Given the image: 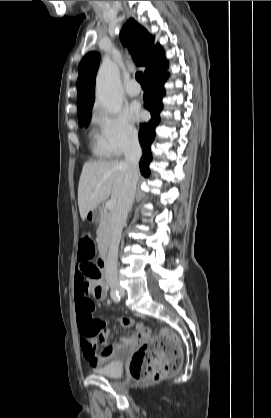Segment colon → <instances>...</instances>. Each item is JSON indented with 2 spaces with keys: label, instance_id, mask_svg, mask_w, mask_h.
<instances>
[{
  "label": "colon",
  "instance_id": "colon-1",
  "mask_svg": "<svg viewBox=\"0 0 271 418\" xmlns=\"http://www.w3.org/2000/svg\"><path fill=\"white\" fill-rule=\"evenodd\" d=\"M95 253L96 247L91 235L88 232L82 233L78 261H91ZM181 363L182 352L176 335L163 328L134 353L130 373L136 380H157L176 373Z\"/></svg>",
  "mask_w": 271,
  "mask_h": 418
}]
</instances>
